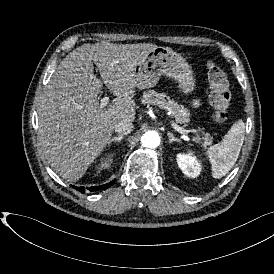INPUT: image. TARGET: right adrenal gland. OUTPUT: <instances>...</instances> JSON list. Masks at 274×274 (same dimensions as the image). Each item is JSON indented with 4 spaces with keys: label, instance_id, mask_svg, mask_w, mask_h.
<instances>
[{
    "label": "right adrenal gland",
    "instance_id": "obj_1",
    "mask_svg": "<svg viewBox=\"0 0 274 274\" xmlns=\"http://www.w3.org/2000/svg\"><path fill=\"white\" fill-rule=\"evenodd\" d=\"M122 139H123V135H118V136L112 138V139L108 142V147H110V146L112 145V143H114V142L120 143Z\"/></svg>",
    "mask_w": 274,
    "mask_h": 274
}]
</instances>
